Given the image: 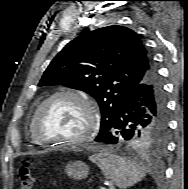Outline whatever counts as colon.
Instances as JSON below:
<instances>
[{
	"instance_id": "obj_1",
	"label": "colon",
	"mask_w": 188,
	"mask_h": 189,
	"mask_svg": "<svg viewBox=\"0 0 188 189\" xmlns=\"http://www.w3.org/2000/svg\"><path fill=\"white\" fill-rule=\"evenodd\" d=\"M20 189H32L34 177L29 162H24L19 168Z\"/></svg>"
}]
</instances>
